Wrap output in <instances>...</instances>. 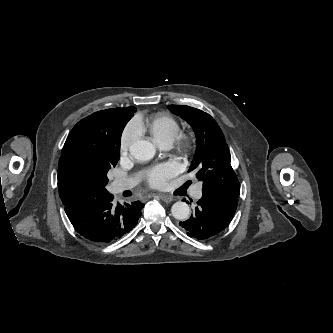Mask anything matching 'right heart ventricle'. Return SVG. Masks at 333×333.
<instances>
[{
  "label": "right heart ventricle",
  "mask_w": 333,
  "mask_h": 333,
  "mask_svg": "<svg viewBox=\"0 0 333 333\" xmlns=\"http://www.w3.org/2000/svg\"><path fill=\"white\" fill-rule=\"evenodd\" d=\"M147 129L158 144L173 143L181 133L180 123L168 114H157L147 124Z\"/></svg>",
  "instance_id": "1"
}]
</instances>
